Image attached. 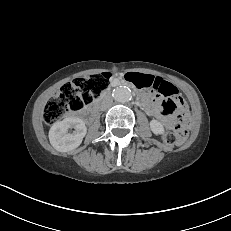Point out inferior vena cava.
Returning <instances> with one entry per match:
<instances>
[{"mask_svg":"<svg viewBox=\"0 0 231 231\" xmlns=\"http://www.w3.org/2000/svg\"><path fill=\"white\" fill-rule=\"evenodd\" d=\"M113 99L111 96H106L101 103V110H105L112 105Z\"/></svg>","mask_w":231,"mask_h":231,"instance_id":"1","label":"inferior vena cava"}]
</instances>
